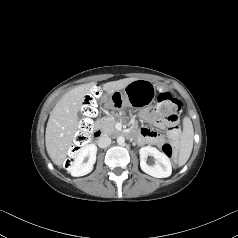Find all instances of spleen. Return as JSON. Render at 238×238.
<instances>
[{"instance_id": "spleen-1", "label": "spleen", "mask_w": 238, "mask_h": 238, "mask_svg": "<svg viewBox=\"0 0 238 238\" xmlns=\"http://www.w3.org/2000/svg\"><path fill=\"white\" fill-rule=\"evenodd\" d=\"M193 125L189 117L183 119L182 144L180 148L178 165L183 166L190 157L193 148Z\"/></svg>"}]
</instances>
